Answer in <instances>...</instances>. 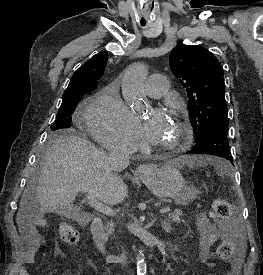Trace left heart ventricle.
<instances>
[{"label":"left heart ventricle","mask_w":263,"mask_h":275,"mask_svg":"<svg viewBox=\"0 0 263 275\" xmlns=\"http://www.w3.org/2000/svg\"><path fill=\"white\" fill-rule=\"evenodd\" d=\"M178 136V130L173 119H167L158 137L153 142L158 146L169 145L173 143Z\"/></svg>","instance_id":"left-heart-ventricle-1"}]
</instances>
